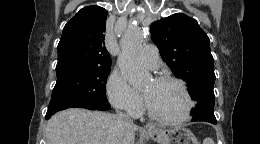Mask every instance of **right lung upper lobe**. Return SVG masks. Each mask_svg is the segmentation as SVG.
<instances>
[{
  "label": "right lung upper lobe",
  "mask_w": 260,
  "mask_h": 144,
  "mask_svg": "<svg viewBox=\"0 0 260 144\" xmlns=\"http://www.w3.org/2000/svg\"><path fill=\"white\" fill-rule=\"evenodd\" d=\"M107 13L100 6H87L65 25L58 44L56 68L111 67L103 35Z\"/></svg>",
  "instance_id": "obj_1"
}]
</instances>
